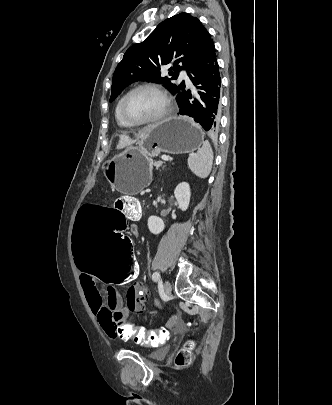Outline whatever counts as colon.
Listing matches in <instances>:
<instances>
[{"label": "colon", "instance_id": "5ec220e1", "mask_svg": "<svg viewBox=\"0 0 332 405\" xmlns=\"http://www.w3.org/2000/svg\"><path fill=\"white\" fill-rule=\"evenodd\" d=\"M114 205L83 202L78 220H72L75 262L82 275H96V281H106L107 287H128L136 281L139 267L134 259V234H128L125 215L141 211L133 196L122 195ZM129 297V295H128ZM118 329L121 342H134L140 351H159L170 333L169 325H154L147 330L144 322H129ZM194 343L188 342L176 356V364L191 361Z\"/></svg>", "mask_w": 332, "mask_h": 405}]
</instances>
